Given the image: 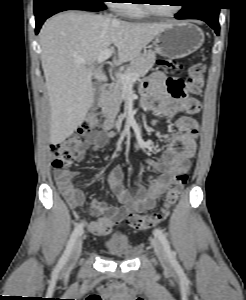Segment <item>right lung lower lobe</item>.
<instances>
[{
    "label": "right lung lower lobe",
    "mask_w": 246,
    "mask_h": 300,
    "mask_svg": "<svg viewBox=\"0 0 246 300\" xmlns=\"http://www.w3.org/2000/svg\"><path fill=\"white\" fill-rule=\"evenodd\" d=\"M65 10H85L94 12L104 9L96 6L90 0H43L41 3L34 5L36 20L35 33L38 34L42 24L47 18Z\"/></svg>",
    "instance_id": "98d812e1"
}]
</instances>
